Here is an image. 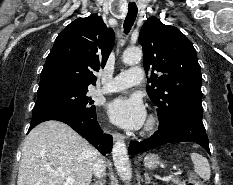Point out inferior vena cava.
I'll return each instance as SVG.
<instances>
[{"instance_id": "1", "label": "inferior vena cava", "mask_w": 233, "mask_h": 185, "mask_svg": "<svg viewBox=\"0 0 233 185\" xmlns=\"http://www.w3.org/2000/svg\"><path fill=\"white\" fill-rule=\"evenodd\" d=\"M105 162L103 159L99 158L94 164H93V174L97 178H101L105 176Z\"/></svg>"}]
</instances>
